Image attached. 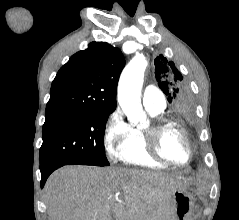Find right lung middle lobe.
I'll list each match as a JSON object with an SVG mask.
<instances>
[{
	"label": "right lung middle lobe",
	"instance_id": "right-lung-middle-lobe-1",
	"mask_svg": "<svg viewBox=\"0 0 239 220\" xmlns=\"http://www.w3.org/2000/svg\"><path fill=\"white\" fill-rule=\"evenodd\" d=\"M112 112H71L45 115L40 170L85 164L108 166L104 154L105 124Z\"/></svg>",
	"mask_w": 239,
	"mask_h": 220
}]
</instances>
